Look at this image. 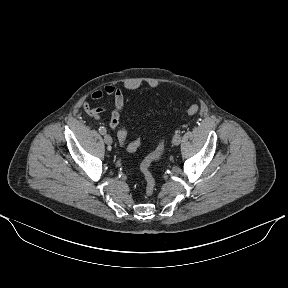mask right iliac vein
Wrapping results in <instances>:
<instances>
[{
	"label": "right iliac vein",
	"mask_w": 288,
	"mask_h": 288,
	"mask_svg": "<svg viewBox=\"0 0 288 288\" xmlns=\"http://www.w3.org/2000/svg\"><path fill=\"white\" fill-rule=\"evenodd\" d=\"M104 142L107 144V145H111L113 140H112V137L109 135V134H105L104 135Z\"/></svg>",
	"instance_id": "obj_1"
}]
</instances>
